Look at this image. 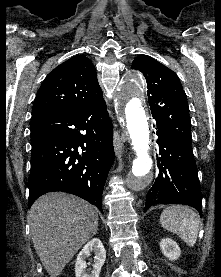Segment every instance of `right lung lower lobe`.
Segmentation results:
<instances>
[{"instance_id": "98d812e1", "label": "right lung lower lobe", "mask_w": 221, "mask_h": 277, "mask_svg": "<svg viewBox=\"0 0 221 277\" xmlns=\"http://www.w3.org/2000/svg\"><path fill=\"white\" fill-rule=\"evenodd\" d=\"M29 203L42 194L77 195L102 212L101 197L113 163V128L104 100L70 112L31 119Z\"/></svg>"}]
</instances>
